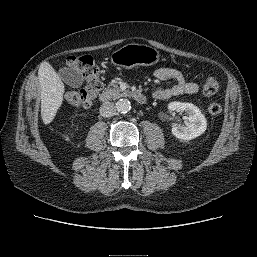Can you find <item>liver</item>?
<instances>
[{
    "label": "liver",
    "mask_w": 257,
    "mask_h": 257,
    "mask_svg": "<svg viewBox=\"0 0 257 257\" xmlns=\"http://www.w3.org/2000/svg\"><path fill=\"white\" fill-rule=\"evenodd\" d=\"M38 79L41 88V117L44 124H49L62 105L65 86L60 76L47 62L40 66Z\"/></svg>",
    "instance_id": "1"
}]
</instances>
